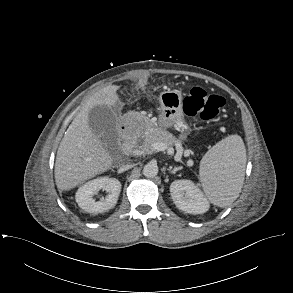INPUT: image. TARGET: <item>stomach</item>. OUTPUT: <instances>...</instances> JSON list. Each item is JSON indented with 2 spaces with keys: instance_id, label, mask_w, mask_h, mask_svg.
Segmentation results:
<instances>
[{
  "instance_id": "obj_1",
  "label": "stomach",
  "mask_w": 293,
  "mask_h": 293,
  "mask_svg": "<svg viewBox=\"0 0 293 293\" xmlns=\"http://www.w3.org/2000/svg\"><path fill=\"white\" fill-rule=\"evenodd\" d=\"M158 124L162 127H170L183 122L182 93L179 90L163 91L159 95Z\"/></svg>"
}]
</instances>
